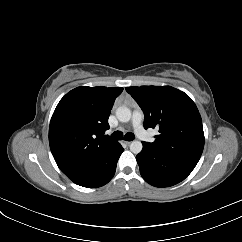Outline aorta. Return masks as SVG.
I'll return each mask as SVG.
<instances>
[{
    "instance_id": "1",
    "label": "aorta",
    "mask_w": 242,
    "mask_h": 242,
    "mask_svg": "<svg viewBox=\"0 0 242 242\" xmlns=\"http://www.w3.org/2000/svg\"><path fill=\"white\" fill-rule=\"evenodd\" d=\"M116 117L121 122H128L132 117V112L128 107L121 106L116 110ZM143 145L141 141L134 140L130 144V150L134 154H138L142 151Z\"/></svg>"
}]
</instances>
